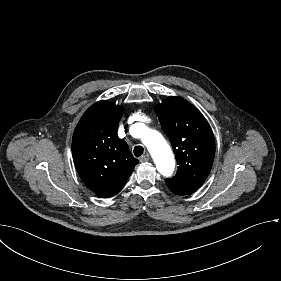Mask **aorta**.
Instances as JSON below:
<instances>
[{
    "label": "aorta",
    "mask_w": 281,
    "mask_h": 281,
    "mask_svg": "<svg viewBox=\"0 0 281 281\" xmlns=\"http://www.w3.org/2000/svg\"><path fill=\"white\" fill-rule=\"evenodd\" d=\"M139 126L143 128L142 142L149 150L157 170L163 176H170L175 166V160L170 146L158 131L148 129L142 123H139Z\"/></svg>",
    "instance_id": "aorta-1"
}]
</instances>
